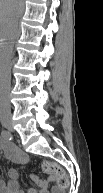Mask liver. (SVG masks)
<instances>
[{"mask_svg":"<svg viewBox=\"0 0 103 193\" xmlns=\"http://www.w3.org/2000/svg\"><path fill=\"white\" fill-rule=\"evenodd\" d=\"M21 5V0H0V22L3 35L8 34L9 27L15 20L16 12Z\"/></svg>","mask_w":103,"mask_h":193,"instance_id":"6515ba94","label":"liver"}]
</instances>
